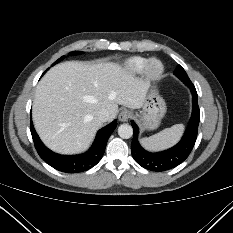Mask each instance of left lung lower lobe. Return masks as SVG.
<instances>
[{"instance_id":"left-lung-lower-lobe-1","label":"left lung lower lobe","mask_w":233,"mask_h":233,"mask_svg":"<svg viewBox=\"0 0 233 233\" xmlns=\"http://www.w3.org/2000/svg\"><path fill=\"white\" fill-rule=\"evenodd\" d=\"M187 86L190 88L192 93V115L184 136L174 147L158 153H151L144 150L138 142V127L132 121L134 131L131 144L132 156L143 168L156 172L172 169L182 163L192 151L198 133L200 110L198 106L197 92L194 85L192 83H188Z\"/></svg>"}]
</instances>
